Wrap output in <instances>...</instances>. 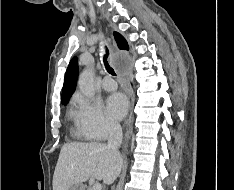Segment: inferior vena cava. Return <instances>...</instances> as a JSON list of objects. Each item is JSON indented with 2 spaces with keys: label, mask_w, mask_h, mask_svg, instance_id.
<instances>
[{
  "label": "inferior vena cava",
  "mask_w": 234,
  "mask_h": 190,
  "mask_svg": "<svg viewBox=\"0 0 234 190\" xmlns=\"http://www.w3.org/2000/svg\"><path fill=\"white\" fill-rule=\"evenodd\" d=\"M122 137L121 126L116 122H111L109 124V138L106 148L116 156H120L119 146L121 145Z\"/></svg>",
  "instance_id": "obj_1"
}]
</instances>
